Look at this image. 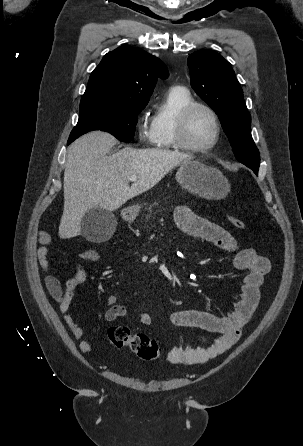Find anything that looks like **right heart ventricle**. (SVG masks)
I'll return each instance as SVG.
<instances>
[{
  "label": "right heart ventricle",
  "instance_id": "e07e8e85",
  "mask_svg": "<svg viewBox=\"0 0 303 446\" xmlns=\"http://www.w3.org/2000/svg\"><path fill=\"white\" fill-rule=\"evenodd\" d=\"M193 102L190 92L181 86L171 87L151 119L150 142L155 148H178L175 141V124L178 114Z\"/></svg>",
  "mask_w": 303,
  "mask_h": 446
}]
</instances>
